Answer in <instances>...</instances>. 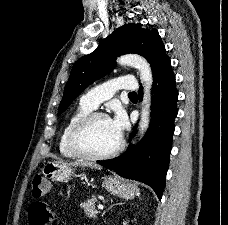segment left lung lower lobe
Here are the masks:
<instances>
[{
    "label": "left lung lower lobe",
    "instance_id": "obj_1",
    "mask_svg": "<svg viewBox=\"0 0 228 225\" xmlns=\"http://www.w3.org/2000/svg\"><path fill=\"white\" fill-rule=\"evenodd\" d=\"M142 100V87L139 89ZM151 121L143 140L112 160L97 161L120 176L143 182L161 199L169 165L178 92L171 62L166 56L153 73Z\"/></svg>",
    "mask_w": 228,
    "mask_h": 225
}]
</instances>
